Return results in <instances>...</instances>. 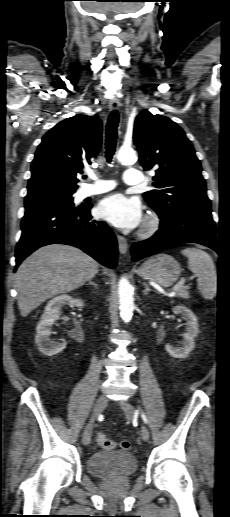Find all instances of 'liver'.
<instances>
[{
	"mask_svg": "<svg viewBox=\"0 0 230 517\" xmlns=\"http://www.w3.org/2000/svg\"><path fill=\"white\" fill-rule=\"evenodd\" d=\"M99 271V263L80 249L51 244L25 259L16 272L17 303L26 317L55 295L70 292Z\"/></svg>",
	"mask_w": 230,
	"mask_h": 517,
	"instance_id": "6515ba94",
	"label": "liver"
}]
</instances>
